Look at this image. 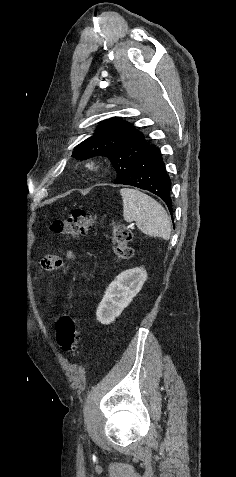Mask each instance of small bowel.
<instances>
[{
	"label": "small bowel",
	"mask_w": 236,
	"mask_h": 477,
	"mask_svg": "<svg viewBox=\"0 0 236 477\" xmlns=\"http://www.w3.org/2000/svg\"><path fill=\"white\" fill-rule=\"evenodd\" d=\"M70 257H73V256L70 255ZM42 266L46 270H50V269L65 270L66 269L65 261L61 257L56 255H48L42 261Z\"/></svg>",
	"instance_id": "1"
}]
</instances>
